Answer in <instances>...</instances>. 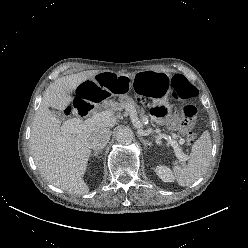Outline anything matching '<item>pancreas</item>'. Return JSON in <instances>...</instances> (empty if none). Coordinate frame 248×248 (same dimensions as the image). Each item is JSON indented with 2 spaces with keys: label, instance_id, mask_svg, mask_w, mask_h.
Returning <instances> with one entry per match:
<instances>
[{
  "label": "pancreas",
  "instance_id": "cf45deb5",
  "mask_svg": "<svg viewBox=\"0 0 248 248\" xmlns=\"http://www.w3.org/2000/svg\"><path fill=\"white\" fill-rule=\"evenodd\" d=\"M115 106L119 107L120 109H125L127 111L129 109V107H132L135 111H136V109L139 108L137 106L136 102L131 97H125V98L121 99L120 103L115 104ZM147 119H148V117L146 115H144L143 113H141V115H140L141 123H144ZM179 150L182 152V150L180 148H179Z\"/></svg>",
  "mask_w": 248,
  "mask_h": 248
}]
</instances>
